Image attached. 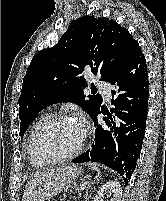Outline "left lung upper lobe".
I'll use <instances>...</instances> for the list:
<instances>
[{"instance_id": "5c2ea615", "label": "left lung upper lobe", "mask_w": 166, "mask_h": 201, "mask_svg": "<svg viewBox=\"0 0 166 201\" xmlns=\"http://www.w3.org/2000/svg\"><path fill=\"white\" fill-rule=\"evenodd\" d=\"M137 43L126 28L105 17L84 16L71 22L59 42L38 52L27 69L18 101L20 135L53 103L74 102L93 118L102 98L89 95L86 99L83 73L91 71L109 82Z\"/></svg>"}]
</instances>
